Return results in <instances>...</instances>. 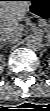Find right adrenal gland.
I'll use <instances>...</instances> for the list:
<instances>
[{"label":"right adrenal gland","instance_id":"obj_1","mask_svg":"<svg viewBox=\"0 0 50 111\" xmlns=\"http://www.w3.org/2000/svg\"><path fill=\"white\" fill-rule=\"evenodd\" d=\"M5 45H8V43H3V44H1V47H2V46H5Z\"/></svg>","mask_w":50,"mask_h":111}]
</instances>
